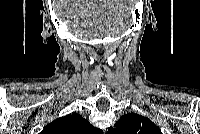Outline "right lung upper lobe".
<instances>
[{
	"mask_svg": "<svg viewBox=\"0 0 200 134\" xmlns=\"http://www.w3.org/2000/svg\"><path fill=\"white\" fill-rule=\"evenodd\" d=\"M100 132L77 113L54 120L42 131L43 134H98Z\"/></svg>",
	"mask_w": 200,
	"mask_h": 134,
	"instance_id": "cb5924a9",
	"label": "right lung upper lobe"
}]
</instances>
